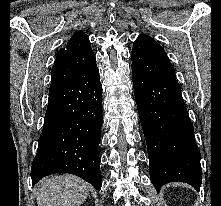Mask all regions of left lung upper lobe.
Segmentation results:
<instances>
[{
    "label": "left lung upper lobe",
    "mask_w": 221,
    "mask_h": 206,
    "mask_svg": "<svg viewBox=\"0 0 221 206\" xmlns=\"http://www.w3.org/2000/svg\"><path fill=\"white\" fill-rule=\"evenodd\" d=\"M132 72L163 80L176 81L172 64L165 50L146 34H141L134 42Z\"/></svg>",
    "instance_id": "1"
}]
</instances>
